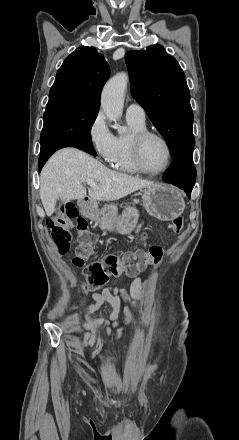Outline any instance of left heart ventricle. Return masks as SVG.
I'll return each instance as SVG.
<instances>
[{"label": "left heart ventricle", "instance_id": "b2bd125f", "mask_svg": "<svg viewBox=\"0 0 239 440\" xmlns=\"http://www.w3.org/2000/svg\"><path fill=\"white\" fill-rule=\"evenodd\" d=\"M142 159L148 170L152 172L162 170L168 159L164 143L155 137L148 138L142 148Z\"/></svg>", "mask_w": 239, "mask_h": 440}]
</instances>
